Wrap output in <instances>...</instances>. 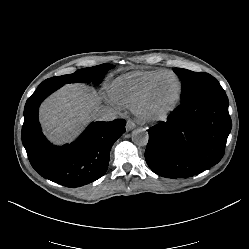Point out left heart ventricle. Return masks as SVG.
<instances>
[{
    "mask_svg": "<svg viewBox=\"0 0 249 249\" xmlns=\"http://www.w3.org/2000/svg\"><path fill=\"white\" fill-rule=\"evenodd\" d=\"M178 93V82L174 77L162 80L154 89L148 102L147 108L150 111L159 110L172 103Z\"/></svg>",
    "mask_w": 249,
    "mask_h": 249,
    "instance_id": "obj_1",
    "label": "left heart ventricle"
}]
</instances>
